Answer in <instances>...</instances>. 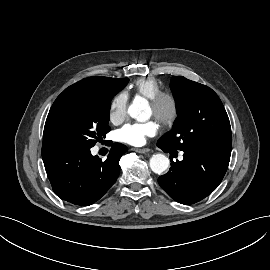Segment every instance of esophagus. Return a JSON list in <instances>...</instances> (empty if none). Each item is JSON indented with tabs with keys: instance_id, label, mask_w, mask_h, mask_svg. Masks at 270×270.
Segmentation results:
<instances>
[{
	"instance_id": "1",
	"label": "esophagus",
	"mask_w": 270,
	"mask_h": 270,
	"mask_svg": "<svg viewBox=\"0 0 270 270\" xmlns=\"http://www.w3.org/2000/svg\"><path fill=\"white\" fill-rule=\"evenodd\" d=\"M133 150L135 152L141 153V154H145V153H148L150 151V149H147V148H134Z\"/></svg>"
}]
</instances>
